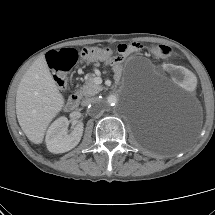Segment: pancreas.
I'll use <instances>...</instances> for the list:
<instances>
[{
  "instance_id": "pancreas-1",
  "label": "pancreas",
  "mask_w": 215,
  "mask_h": 215,
  "mask_svg": "<svg viewBox=\"0 0 215 215\" xmlns=\"http://www.w3.org/2000/svg\"><path fill=\"white\" fill-rule=\"evenodd\" d=\"M102 89L101 85L94 83L92 76H87L85 84L77 91V95L79 97H90L99 93Z\"/></svg>"
}]
</instances>
